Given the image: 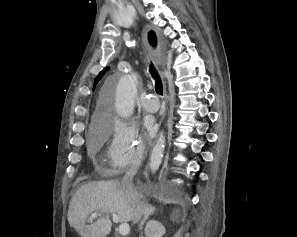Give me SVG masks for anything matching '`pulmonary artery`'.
Wrapping results in <instances>:
<instances>
[{"mask_svg": "<svg viewBox=\"0 0 297 237\" xmlns=\"http://www.w3.org/2000/svg\"><path fill=\"white\" fill-rule=\"evenodd\" d=\"M143 107L148 112H156L159 109V102L152 94L145 97Z\"/></svg>", "mask_w": 297, "mask_h": 237, "instance_id": "1", "label": "pulmonary artery"}]
</instances>
